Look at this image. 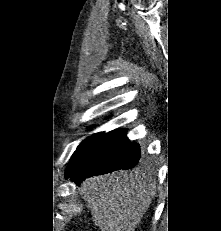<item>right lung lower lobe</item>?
Masks as SVG:
<instances>
[{
  "mask_svg": "<svg viewBox=\"0 0 221 231\" xmlns=\"http://www.w3.org/2000/svg\"><path fill=\"white\" fill-rule=\"evenodd\" d=\"M125 129L103 133L79 159L68 165L65 177L79 184L93 175L135 167L141 157L140 146L132 143Z\"/></svg>",
  "mask_w": 221,
  "mask_h": 231,
  "instance_id": "1",
  "label": "right lung lower lobe"
}]
</instances>
